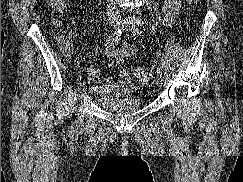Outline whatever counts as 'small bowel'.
I'll return each instance as SVG.
<instances>
[{
    "label": "small bowel",
    "instance_id": "1",
    "mask_svg": "<svg viewBox=\"0 0 243 182\" xmlns=\"http://www.w3.org/2000/svg\"><path fill=\"white\" fill-rule=\"evenodd\" d=\"M181 5L182 0H164L163 22L166 26H171L175 22ZM136 51L137 48L133 44H120L119 39L108 40L104 48V54L110 67L121 66L124 60L134 55ZM87 74L91 88L105 97L118 98L133 90L130 72L127 69L120 70L118 81H104L100 70L93 66L87 67Z\"/></svg>",
    "mask_w": 243,
    "mask_h": 182
}]
</instances>
